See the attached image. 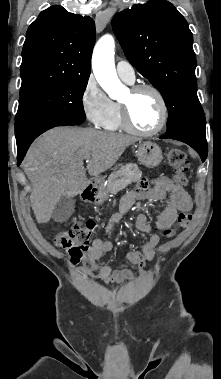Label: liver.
I'll use <instances>...</instances> for the list:
<instances>
[{
    "instance_id": "1",
    "label": "liver",
    "mask_w": 221,
    "mask_h": 379,
    "mask_svg": "<svg viewBox=\"0 0 221 379\" xmlns=\"http://www.w3.org/2000/svg\"><path fill=\"white\" fill-rule=\"evenodd\" d=\"M138 139L92 128L58 127L45 132L29 148L24 171L32 184L30 203L38 223H47L62 196L80 194L89 175L111 168ZM89 158L86 169L83 161Z\"/></svg>"
}]
</instances>
